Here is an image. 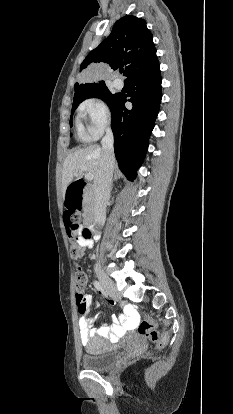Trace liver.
<instances>
[{
	"label": "liver",
	"mask_w": 233,
	"mask_h": 414,
	"mask_svg": "<svg viewBox=\"0 0 233 414\" xmlns=\"http://www.w3.org/2000/svg\"><path fill=\"white\" fill-rule=\"evenodd\" d=\"M102 148L99 145H90L78 149L66 157L62 169V191L65 195L66 189L75 179L82 177V172H87L95 178L100 170ZM85 167L86 171L81 168Z\"/></svg>",
	"instance_id": "6515ba94"
}]
</instances>
